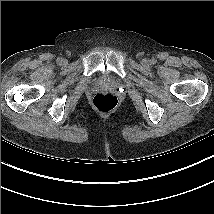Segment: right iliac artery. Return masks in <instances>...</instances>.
Masks as SVG:
<instances>
[{"label":"right iliac artery","instance_id":"obj_1","mask_svg":"<svg viewBox=\"0 0 214 214\" xmlns=\"http://www.w3.org/2000/svg\"><path fill=\"white\" fill-rule=\"evenodd\" d=\"M62 62H63V59L62 58H58L57 59V63L60 65V64H62Z\"/></svg>","mask_w":214,"mask_h":214}]
</instances>
